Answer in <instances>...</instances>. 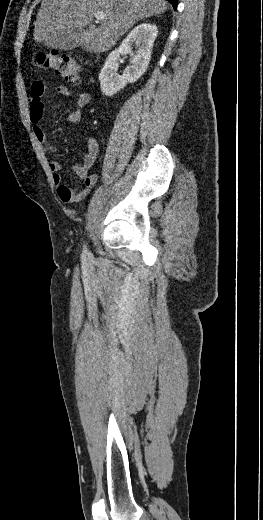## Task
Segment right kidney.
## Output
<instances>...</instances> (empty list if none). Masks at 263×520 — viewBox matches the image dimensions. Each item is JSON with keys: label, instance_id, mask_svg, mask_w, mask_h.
<instances>
[{"label": "right kidney", "instance_id": "ca27d5eb", "mask_svg": "<svg viewBox=\"0 0 263 520\" xmlns=\"http://www.w3.org/2000/svg\"><path fill=\"white\" fill-rule=\"evenodd\" d=\"M157 34L156 25L142 23L135 27L122 41L118 49H115L108 56L99 74L101 90L106 96H113L128 83L136 82L145 73ZM133 46L138 49L135 53L132 52ZM122 54H129L132 60L131 64L124 70L123 75H119L117 73L119 67L117 61Z\"/></svg>", "mask_w": 263, "mask_h": 520}]
</instances>
